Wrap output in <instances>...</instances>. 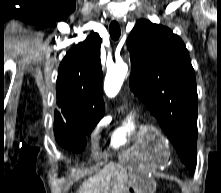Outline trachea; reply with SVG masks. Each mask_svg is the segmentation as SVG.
Segmentation results:
<instances>
[{
	"mask_svg": "<svg viewBox=\"0 0 221 193\" xmlns=\"http://www.w3.org/2000/svg\"><path fill=\"white\" fill-rule=\"evenodd\" d=\"M109 33L113 40H118L121 35V30L118 22L112 21L109 26Z\"/></svg>",
	"mask_w": 221,
	"mask_h": 193,
	"instance_id": "3493384b",
	"label": "trachea"
}]
</instances>
